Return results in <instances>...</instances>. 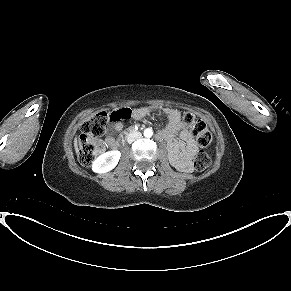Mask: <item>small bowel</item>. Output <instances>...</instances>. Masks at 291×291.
I'll list each match as a JSON object with an SVG mask.
<instances>
[{
	"label": "small bowel",
	"mask_w": 291,
	"mask_h": 291,
	"mask_svg": "<svg viewBox=\"0 0 291 291\" xmlns=\"http://www.w3.org/2000/svg\"><path fill=\"white\" fill-rule=\"evenodd\" d=\"M152 111L150 107L137 108L132 111V116L135 119H141ZM164 114L167 117L166 126L159 132L158 136L168 143L170 157L175 165L182 171L188 172L191 170L190 159L197 152V145L194 135L185 125L181 113L172 108H164ZM124 127V121H114L111 129L106 137L107 144L114 148L116 147V139L113 135L114 131H120ZM179 133L182 143L175 140V135Z\"/></svg>",
	"instance_id": "small-bowel-1"
}]
</instances>
